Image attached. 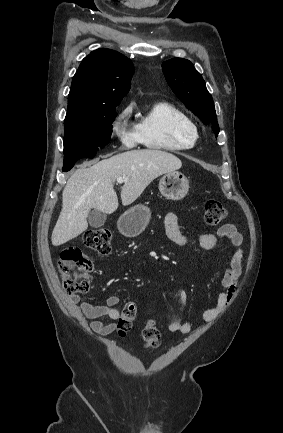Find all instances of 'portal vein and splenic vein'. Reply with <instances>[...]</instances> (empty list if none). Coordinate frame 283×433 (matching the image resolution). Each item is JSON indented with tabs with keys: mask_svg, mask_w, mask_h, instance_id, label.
Listing matches in <instances>:
<instances>
[{
	"mask_svg": "<svg viewBox=\"0 0 283 433\" xmlns=\"http://www.w3.org/2000/svg\"><path fill=\"white\" fill-rule=\"evenodd\" d=\"M124 180H128L127 176H118L117 182H124Z\"/></svg>",
	"mask_w": 283,
	"mask_h": 433,
	"instance_id": "portal-vein-and-splenic-vein-1",
	"label": "portal vein and splenic vein"
}]
</instances>
